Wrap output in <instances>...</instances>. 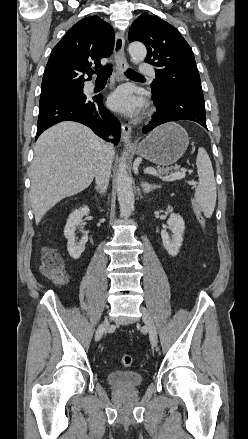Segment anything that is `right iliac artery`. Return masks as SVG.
I'll return each mask as SVG.
<instances>
[{"instance_id":"right-iliac-artery-1","label":"right iliac artery","mask_w":248,"mask_h":439,"mask_svg":"<svg viewBox=\"0 0 248 439\" xmlns=\"http://www.w3.org/2000/svg\"><path fill=\"white\" fill-rule=\"evenodd\" d=\"M103 323L101 322L99 325H98V327H96V329H95V331H94V334H95V337L93 338V341L94 342H98L99 341V339H100V336H102V334H103Z\"/></svg>"}]
</instances>
